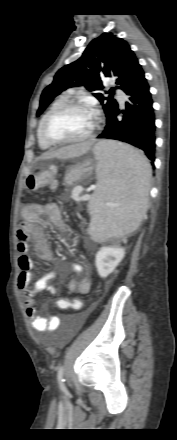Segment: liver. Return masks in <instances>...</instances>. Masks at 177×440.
<instances>
[{
  "label": "liver",
  "instance_id": "obj_1",
  "mask_svg": "<svg viewBox=\"0 0 177 440\" xmlns=\"http://www.w3.org/2000/svg\"><path fill=\"white\" fill-rule=\"evenodd\" d=\"M93 144H94L93 141H85L82 143L68 145L56 151L45 153L44 159H50V158L68 159V158L79 157L87 153Z\"/></svg>",
  "mask_w": 177,
  "mask_h": 440
}]
</instances>
